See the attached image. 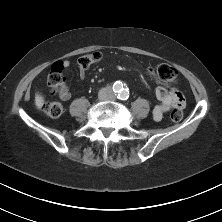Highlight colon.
I'll list each match as a JSON object with an SVG mask.
<instances>
[{
	"label": "colon",
	"instance_id": "1",
	"mask_svg": "<svg viewBox=\"0 0 222 222\" xmlns=\"http://www.w3.org/2000/svg\"><path fill=\"white\" fill-rule=\"evenodd\" d=\"M102 59V54L99 51H93L82 55L78 59L80 67L88 69L91 66L97 64ZM64 64L61 61L55 62L48 76V85L52 92L60 93L62 90L63 77L62 71ZM155 71L162 76V83L171 85L177 81V70L168 64H160L156 66ZM183 107L175 108L170 114V121L179 122L183 117ZM42 110L50 118H57L63 113V105L58 101L44 102L42 104Z\"/></svg>",
	"mask_w": 222,
	"mask_h": 222
}]
</instances>
